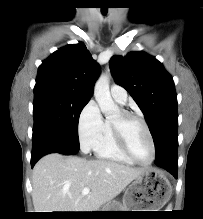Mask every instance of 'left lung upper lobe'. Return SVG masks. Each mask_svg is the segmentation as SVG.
<instances>
[{"label":"left lung upper lobe","instance_id":"5c2ea615","mask_svg":"<svg viewBox=\"0 0 203 219\" xmlns=\"http://www.w3.org/2000/svg\"><path fill=\"white\" fill-rule=\"evenodd\" d=\"M110 68L117 84L124 87L143 112L156 149V158L178 146L177 95L171 75L145 52L115 55Z\"/></svg>","mask_w":203,"mask_h":219}]
</instances>
